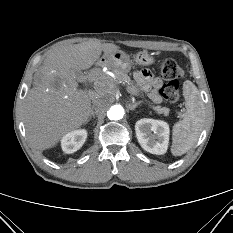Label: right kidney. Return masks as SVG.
<instances>
[{
    "label": "right kidney",
    "mask_w": 233,
    "mask_h": 233,
    "mask_svg": "<svg viewBox=\"0 0 233 233\" xmlns=\"http://www.w3.org/2000/svg\"><path fill=\"white\" fill-rule=\"evenodd\" d=\"M87 138V131L84 129H78L71 132H68L61 139L62 150L71 154L79 150Z\"/></svg>",
    "instance_id": "obj_1"
}]
</instances>
